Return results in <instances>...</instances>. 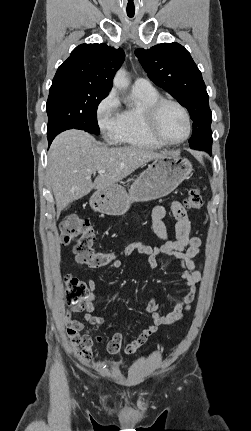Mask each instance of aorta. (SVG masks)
<instances>
[{
	"mask_svg": "<svg viewBox=\"0 0 251 431\" xmlns=\"http://www.w3.org/2000/svg\"><path fill=\"white\" fill-rule=\"evenodd\" d=\"M113 84L119 90H124L129 85V80L127 78V72L124 68H120L114 77Z\"/></svg>",
	"mask_w": 251,
	"mask_h": 431,
	"instance_id": "1",
	"label": "aorta"
}]
</instances>
